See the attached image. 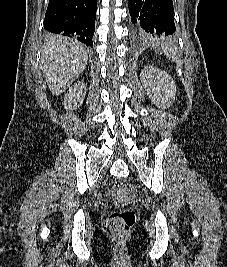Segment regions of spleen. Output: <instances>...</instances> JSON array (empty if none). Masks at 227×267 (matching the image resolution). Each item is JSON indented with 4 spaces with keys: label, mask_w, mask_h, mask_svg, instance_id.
I'll list each match as a JSON object with an SVG mask.
<instances>
[{
    "label": "spleen",
    "mask_w": 227,
    "mask_h": 267,
    "mask_svg": "<svg viewBox=\"0 0 227 267\" xmlns=\"http://www.w3.org/2000/svg\"><path fill=\"white\" fill-rule=\"evenodd\" d=\"M161 48L163 49V52L165 53L166 56L170 58L173 56V50L169 43L161 44Z\"/></svg>",
    "instance_id": "1"
}]
</instances>
